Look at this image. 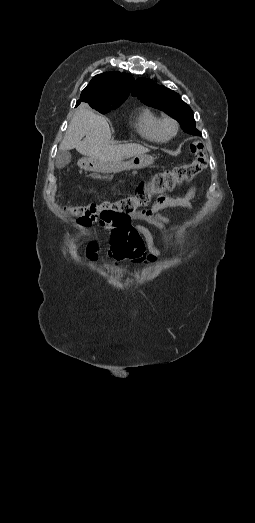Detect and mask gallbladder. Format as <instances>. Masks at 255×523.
Here are the masks:
<instances>
[{
  "mask_svg": "<svg viewBox=\"0 0 255 523\" xmlns=\"http://www.w3.org/2000/svg\"><path fill=\"white\" fill-rule=\"evenodd\" d=\"M71 162V154L68 150H58L55 158L56 168H65Z\"/></svg>",
  "mask_w": 255,
  "mask_h": 523,
  "instance_id": "gallbladder-1",
  "label": "gallbladder"
}]
</instances>
